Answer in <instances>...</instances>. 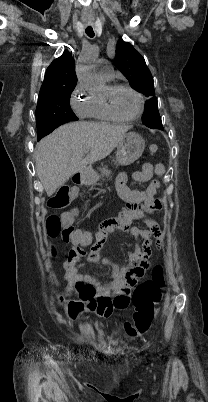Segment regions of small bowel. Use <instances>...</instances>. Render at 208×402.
Segmentation results:
<instances>
[{
	"mask_svg": "<svg viewBox=\"0 0 208 402\" xmlns=\"http://www.w3.org/2000/svg\"><path fill=\"white\" fill-rule=\"evenodd\" d=\"M163 174L164 166L161 163L156 165L144 163L140 170L132 172L131 177L136 182L144 183L151 181L154 176L161 177ZM127 182L128 174L121 172L116 181V188L121 199L126 202V206L119 213L122 222L115 220L99 222L98 230L93 234L98 242L94 243L88 259L93 263L100 262L99 252L107 241V232H115L116 228H120L135 241H143L141 249L129 253L128 267H109L106 286L100 287L94 278L82 272V264L79 267L65 266L67 293L76 292L82 299H88L91 296L109 297L112 292L115 294L113 301L117 308H122L128 303L132 286L137 278L145 274L153 249L162 243L164 237L159 226L146 215L158 212L163 207V200L155 198L159 181L152 180L143 190L130 189ZM134 219L141 220L146 228L131 225ZM73 321L78 323L80 318L75 316Z\"/></svg>",
	"mask_w": 208,
	"mask_h": 402,
	"instance_id": "obj_1",
	"label": "small bowel"
}]
</instances>
